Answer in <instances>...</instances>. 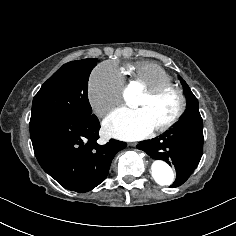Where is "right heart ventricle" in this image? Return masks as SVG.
<instances>
[{
    "mask_svg": "<svg viewBox=\"0 0 236 236\" xmlns=\"http://www.w3.org/2000/svg\"><path fill=\"white\" fill-rule=\"evenodd\" d=\"M130 82L143 91L173 82L172 75L161 65L151 62H136L126 65Z\"/></svg>",
    "mask_w": 236,
    "mask_h": 236,
    "instance_id": "obj_1",
    "label": "right heart ventricle"
}]
</instances>
